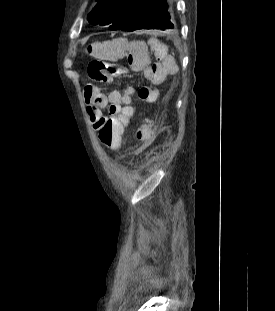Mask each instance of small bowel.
<instances>
[{"label": "small bowel", "instance_id": "small-bowel-1", "mask_svg": "<svg viewBox=\"0 0 275 311\" xmlns=\"http://www.w3.org/2000/svg\"><path fill=\"white\" fill-rule=\"evenodd\" d=\"M148 44L151 46L150 50H144L139 46H132L131 41L115 39L104 42L102 52L105 53V57H126V53H129V67L137 72H145V78L151 81L152 87H163L164 80H173L178 74L176 57L169 55L168 46H164L154 37L148 40ZM133 94L134 90L131 87L123 92L112 90L104 94L101 84H87L84 99L94 129H99L102 119L129 118L130 122L133 116ZM104 109L108 112H103ZM123 131L121 130V133ZM157 132V123L153 119L145 118L143 122H137V126H134L132 139L134 143H152L153 139L157 138Z\"/></svg>", "mask_w": 275, "mask_h": 311}]
</instances>
